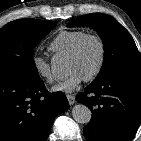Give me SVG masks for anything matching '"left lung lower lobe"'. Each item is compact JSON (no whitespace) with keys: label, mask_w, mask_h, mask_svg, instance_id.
<instances>
[{"label":"left lung lower lobe","mask_w":141,"mask_h":141,"mask_svg":"<svg viewBox=\"0 0 141 141\" xmlns=\"http://www.w3.org/2000/svg\"><path fill=\"white\" fill-rule=\"evenodd\" d=\"M93 93L77 95L90 108L91 121L84 127L88 141H132L141 123V74H122L91 83Z\"/></svg>","instance_id":"left-lung-lower-lobe-1"}]
</instances>
